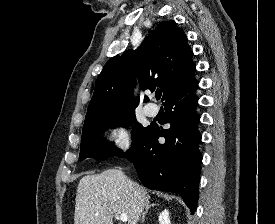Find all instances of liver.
Masks as SVG:
<instances>
[{"instance_id":"liver-1","label":"liver","mask_w":275,"mask_h":224,"mask_svg":"<svg viewBox=\"0 0 275 224\" xmlns=\"http://www.w3.org/2000/svg\"><path fill=\"white\" fill-rule=\"evenodd\" d=\"M149 199L147 190L121 170L86 175L77 188L74 224H113L114 214H126L128 224H137Z\"/></svg>"}]
</instances>
